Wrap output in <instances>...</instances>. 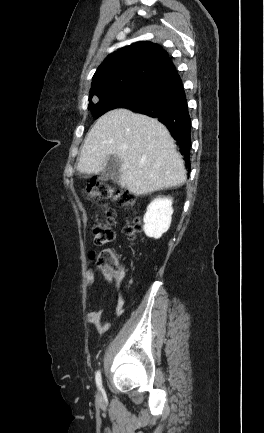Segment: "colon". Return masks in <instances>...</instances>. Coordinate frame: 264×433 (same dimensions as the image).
<instances>
[{"instance_id": "colon-1", "label": "colon", "mask_w": 264, "mask_h": 433, "mask_svg": "<svg viewBox=\"0 0 264 433\" xmlns=\"http://www.w3.org/2000/svg\"><path fill=\"white\" fill-rule=\"evenodd\" d=\"M85 194L95 200L112 199L121 206H132L135 203L134 194L115 189L112 186L98 181H92L85 190ZM115 213L111 208L104 209V215L101 220L94 223L92 227L93 241L97 246H106L112 243L114 239L113 223ZM141 221L135 218L125 226V233L132 239H138L141 232ZM97 266L103 269L111 276H116L119 272L118 260L116 253L111 249L103 250L97 255Z\"/></svg>"}]
</instances>
